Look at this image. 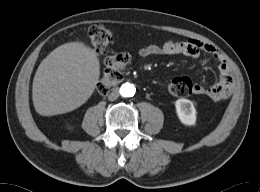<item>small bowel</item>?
Returning a JSON list of instances; mask_svg holds the SVG:
<instances>
[{
	"label": "small bowel",
	"mask_w": 260,
	"mask_h": 192,
	"mask_svg": "<svg viewBox=\"0 0 260 192\" xmlns=\"http://www.w3.org/2000/svg\"><path fill=\"white\" fill-rule=\"evenodd\" d=\"M202 53L209 55L216 63L219 72V81L211 86L194 83L193 93L205 95L215 101L227 99L233 88L232 73L222 55L211 44L197 39H187L184 41L169 40L162 45L151 44L137 51V55L140 58L153 55H185L192 58H199Z\"/></svg>",
	"instance_id": "1"
}]
</instances>
